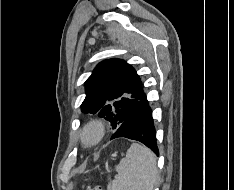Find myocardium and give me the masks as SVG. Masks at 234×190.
Listing matches in <instances>:
<instances>
[{
  "mask_svg": "<svg viewBox=\"0 0 234 190\" xmlns=\"http://www.w3.org/2000/svg\"><path fill=\"white\" fill-rule=\"evenodd\" d=\"M104 135V124L99 120H92L83 127L80 137L84 145L95 146L103 139Z\"/></svg>",
  "mask_w": 234,
  "mask_h": 190,
  "instance_id": "obj_1",
  "label": "myocardium"
}]
</instances>
